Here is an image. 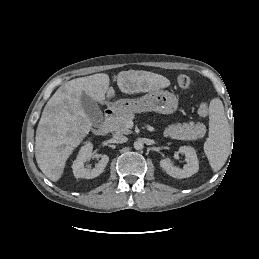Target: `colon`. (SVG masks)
Wrapping results in <instances>:
<instances>
[{
  "label": "colon",
  "instance_id": "1",
  "mask_svg": "<svg viewBox=\"0 0 259 259\" xmlns=\"http://www.w3.org/2000/svg\"><path fill=\"white\" fill-rule=\"evenodd\" d=\"M177 82H178V85H179L180 88L187 89V88H189L192 85L193 80H192V78L190 76H188L186 74H181L178 77ZM198 113L202 117H205V116L208 115V113H209V105H208L207 102H202L199 105Z\"/></svg>",
  "mask_w": 259,
  "mask_h": 259
}]
</instances>
